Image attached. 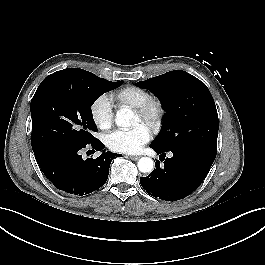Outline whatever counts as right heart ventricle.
<instances>
[{"label":"right heart ventricle","mask_w":265,"mask_h":265,"mask_svg":"<svg viewBox=\"0 0 265 265\" xmlns=\"http://www.w3.org/2000/svg\"><path fill=\"white\" fill-rule=\"evenodd\" d=\"M150 97L151 93L139 86H127L115 94V99L121 106L133 109L142 105Z\"/></svg>","instance_id":"obj_1"}]
</instances>
